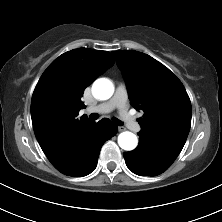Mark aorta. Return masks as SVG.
I'll return each mask as SVG.
<instances>
[{
  "label": "aorta",
  "instance_id": "aorta-1",
  "mask_svg": "<svg viewBox=\"0 0 222 222\" xmlns=\"http://www.w3.org/2000/svg\"><path fill=\"white\" fill-rule=\"evenodd\" d=\"M114 92V86L112 82L106 78L97 79L92 85V94L96 99L107 100ZM138 139L135 134L129 131H125L119 134L118 144L126 150L131 151L137 146Z\"/></svg>",
  "mask_w": 222,
  "mask_h": 222
}]
</instances>
